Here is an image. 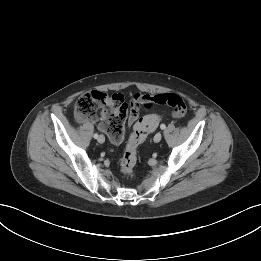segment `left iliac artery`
I'll return each instance as SVG.
<instances>
[{
    "instance_id": "obj_1",
    "label": "left iliac artery",
    "mask_w": 261,
    "mask_h": 261,
    "mask_svg": "<svg viewBox=\"0 0 261 261\" xmlns=\"http://www.w3.org/2000/svg\"><path fill=\"white\" fill-rule=\"evenodd\" d=\"M160 128L164 130L166 128L165 124H161Z\"/></svg>"
}]
</instances>
